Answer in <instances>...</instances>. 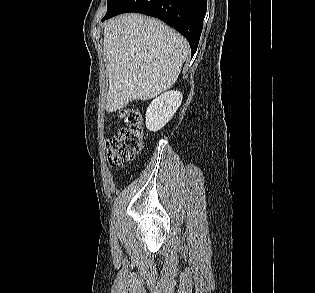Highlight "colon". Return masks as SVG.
Wrapping results in <instances>:
<instances>
[{
    "label": "colon",
    "mask_w": 315,
    "mask_h": 293,
    "mask_svg": "<svg viewBox=\"0 0 315 293\" xmlns=\"http://www.w3.org/2000/svg\"><path fill=\"white\" fill-rule=\"evenodd\" d=\"M118 115L125 127L107 142L108 161L113 167L133 160L141 152L145 139L142 114L138 109L125 108Z\"/></svg>",
    "instance_id": "1"
}]
</instances>
